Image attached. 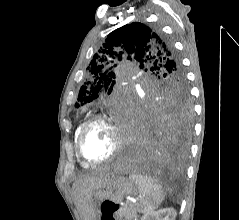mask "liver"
I'll list each match as a JSON object with an SVG mask.
<instances>
[{
  "mask_svg": "<svg viewBox=\"0 0 239 220\" xmlns=\"http://www.w3.org/2000/svg\"><path fill=\"white\" fill-rule=\"evenodd\" d=\"M113 177L112 174L103 175H86L81 177L74 184V196L78 208L84 213V215L90 214L93 211L92 208V196L96 189L105 186L110 179Z\"/></svg>",
  "mask_w": 239,
  "mask_h": 220,
  "instance_id": "liver-1",
  "label": "liver"
}]
</instances>
